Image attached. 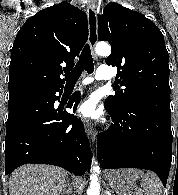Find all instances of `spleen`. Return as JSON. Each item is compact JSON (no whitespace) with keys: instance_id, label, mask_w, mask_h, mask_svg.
<instances>
[{"instance_id":"obj_1","label":"spleen","mask_w":178,"mask_h":195,"mask_svg":"<svg viewBox=\"0 0 178 195\" xmlns=\"http://www.w3.org/2000/svg\"><path fill=\"white\" fill-rule=\"evenodd\" d=\"M135 179L141 178V186L146 195H162L161 182L156 174L152 172L144 173L138 169H125Z\"/></svg>"}]
</instances>
